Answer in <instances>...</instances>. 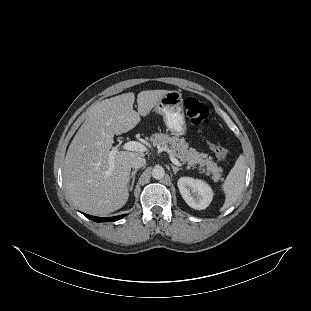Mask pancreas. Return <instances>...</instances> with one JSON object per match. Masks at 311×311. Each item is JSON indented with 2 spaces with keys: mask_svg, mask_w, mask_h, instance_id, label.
<instances>
[{
  "mask_svg": "<svg viewBox=\"0 0 311 311\" xmlns=\"http://www.w3.org/2000/svg\"><path fill=\"white\" fill-rule=\"evenodd\" d=\"M151 142L154 147L169 148L175 157L183 163H188L193 168L198 165L200 172L208 176L212 175L211 178L214 182H218L221 179L223 169L213 162L212 157L208 156V154L200 153L196 149L190 148L185 138L155 133L151 137Z\"/></svg>",
  "mask_w": 311,
  "mask_h": 311,
  "instance_id": "1",
  "label": "pancreas"
}]
</instances>
